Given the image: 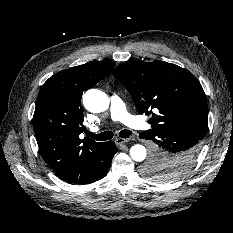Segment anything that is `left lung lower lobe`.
I'll return each instance as SVG.
<instances>
[{"label": "left lung lower lobe", "instance_id": "left-lung-lower-lobe-1", "mask_svg": "<svg viewBox=\"0 0 233 233\" xmlns=\"http://www.w3.org/2000/svg\"><path fill=\"white\" fill-rule=\"evenodd\" d=\"M139 137L155 143L153 157L161 159L171 168L158 172L159 177L171 180L185 175L195 161L201 140L197 133L186 130H147Z\"/></svg>", "mask_w": 233, "mask_h": 233}]
</instances>
